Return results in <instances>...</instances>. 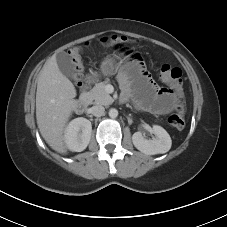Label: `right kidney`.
Masks as SVG:
<instances>
[{
	"instance_id": "right-kidney-1",
	"label": "right kidney",
	"mask_w": 227,
	"mask_h": 227,
	"mask_svg": "<svg viewBox=\"0 0 227 227\" xmlns=\"http://www.w3.org/2000/svg\"><path fill=\"white\" fill-rule=\"evenodd\" d=\"M92 132L91 122L83 117L73 119L65 130V143L69 150L81 152L90 142Z\"/></svg>"
}]
</instances>
